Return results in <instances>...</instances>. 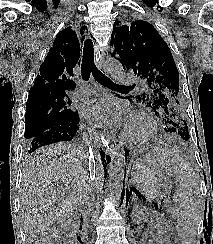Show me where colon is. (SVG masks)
I'll return each instance as SVG.
<instances>
[{
	"mask_svg": "<svg viewBox=\"0 0 213 244\" xmlns=\"http://www.w3.org/2000/svg\"><path fill=\"white\" fill-rule=\"evenodd\" d=\"M39 244H51V243H49V242H47V241H42V242H40Z\"/></svg>",
	"mask_w": 213,
	"mask_h": 244,
	"instance_id": "1",
	"label": "colon"
}]
</instances>
